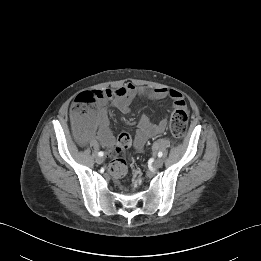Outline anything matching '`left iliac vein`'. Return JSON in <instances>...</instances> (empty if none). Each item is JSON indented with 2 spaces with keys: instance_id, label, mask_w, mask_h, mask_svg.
I'll list each match as a JSON object with an SVG mask.
<instances>
[{
  "instance_id": "obj_1",
  "label": "left iliac vein",
  "mask_w": 261,
  "mask_h": 261,
  "mask_svg": "<svg viewBox=\"0 0 261 261\" xmlns=\"http://www.w3.org/2000/svg\"><path fill=\"white\" fill-rule=\"evenodd\" d=\"M163 165V159L162 158H156L155 161L153 162V167L155 169L161 168Z\"/></svg>"
}]
</instances>
